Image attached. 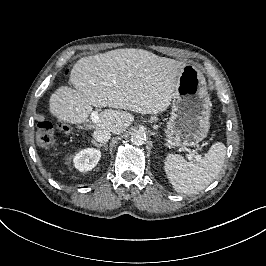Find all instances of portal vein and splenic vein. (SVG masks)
<instances>
[{
    "label": "portal vein and splenic vein",
    "instance_id": "18ae733b",
    "mask_svg": "<svg viewBox=\"0 0 266 266\" xmlns=\"http://www.w3.org/2000/svg\"><path fill=\"white\" fill-rule=\"evenodd\" d=\"M91 120H92V122L93 123H97L98 122V120H99V116H98V112L97 111H93L92 113H91ZM188 159L189 160H192L193 159V154H188ZM194 158L196 159V161H200L201 160V155H194Z\"/></svg>",
    "mask_w": 266,
    "mask_h": 266
}]
</instances>
